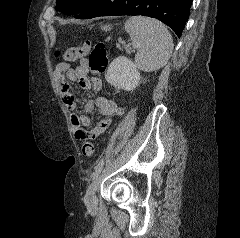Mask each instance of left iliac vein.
Here are the masks:
<instances>
[{"mask_svg":"<svg viewBox=\"0 0 240 238\" xmlns=\"http://www.w3.org/2000/svg\"><path fill=\"white\" fill-rule=\"evenodd\" d=\"M100 176H97L88 186L84 196V203L89 210H94L97 207L96 191L99 186Z\"/></svg>","mask_w":240,"mask_h":238,"instance_id":"4c4485c4","label":"left iliac vein"}]
</instances>
